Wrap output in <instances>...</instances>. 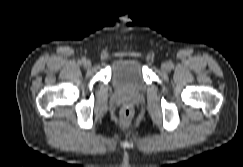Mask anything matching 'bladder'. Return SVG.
I'll return each mask as SVG.
<instances>
[{"instance_id":"bladder-1","label":"bladder","mask_w":243,"mask_h":167,"mask_svg":"<svg viewBox=\"0 0 243 167\" xmlns=\"http://www.w3.org/2000/svg\"><path fill=\"white\" fill-rule=\"evenodd\" d=\"M112 79L115 88L124 93L140 94L145 89L142 66L134 58L117 59L112 67Z\"/></svg>"}]
</instances>
